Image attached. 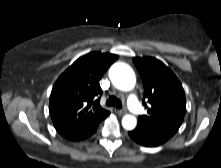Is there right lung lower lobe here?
<instances>
[{"label":"right lung lower lobe","mask_w":221,"mask_h":168,"mask_svg":"<svg viewBox=\"0 0 221 168\" xmlns=\"http://www.w3.org/2000/svg\"><path fill=\"white\" fill-rule=\"evenodd\" d=\"M97 127H98V125L88 128V129H83V130L76 132V133L65 134L62 136L68 140H71V141L83 140V139H86V138L90 137L91 135H93L95 133Z\"/></svg>","instance_id":"obj_1"}]
</instances>
